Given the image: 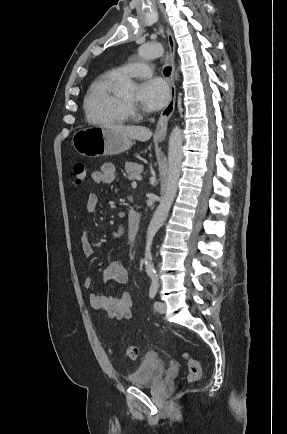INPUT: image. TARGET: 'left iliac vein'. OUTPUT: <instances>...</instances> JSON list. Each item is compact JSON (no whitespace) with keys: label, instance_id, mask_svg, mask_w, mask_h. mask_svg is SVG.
<instances>
[{"label":"left iliac vein","instance_id":"4c4485c4","mask_svg":"<svg viewBox=\"0 0 287 434\" xmlns=\"http://www.w3.org/2000/svg\"><path fill=\"white\" fill-rule=\"evenodd\" d=\"M155 309L158 313L163 314L166 311V305L164 302L156 301L155 302Z\"/></svg>","mask_w":287,"mask_h":434}]
</instances>
